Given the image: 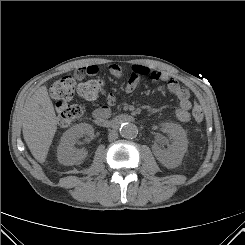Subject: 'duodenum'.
Returning <instances> with one entry per match:
<instances>
[{
  "label": "duodenum",
  "mask_w": 245,
  "mask_h": 245,
  "mask_svg": "<svg viewBox=\"0 0 245 245\" xmlns=\"http://www.w3.org/2000/svg\"><path fill=\"white\" fill-rule=\"evenodd\" d=\"M135 121L134 117L128 114H120L113 119L109 118H98L95 123L104 128H118L124 123H133Z\"/></svg>",
  "instance_id": "410a0bca"
}]
</instances>
